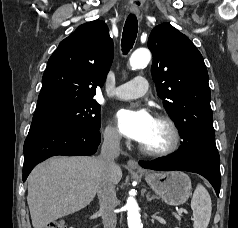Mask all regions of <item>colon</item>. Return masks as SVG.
I'll return each mask as SVG.
<instances>
[{"instance_id":"obj_1","label":"colon","mask_w":238,"mask_h":228,"mask_svg":"<svg viewBox=\"0 0 238 228\" xmlns=\"http://www.w3.org/2000/svg\"><path fill=\"white\" fill-rule=\"evenodd\" d=\"M45 228H67L62 221H52Z\"/></svg>"}]
</instances>
